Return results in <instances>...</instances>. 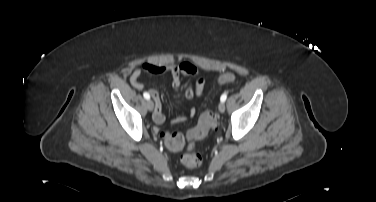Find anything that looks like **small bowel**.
Segmentation results:
<instances>
[{
	"label": "small bowel",
	"instance_id": "small-bowel-1",
	"mask_svg": "<svg viewBox=\"0 0 376 202\" xmlns=\"http://www.w3.org/2000/svg\"><path fill=\"white\" fill-rule=\"evenodd\" d=\"M147 73L151 75L169 74L171 77V83L173 87H179L182 84V77L186 76L193 80V83L187 82L183 84V94L187 99H199L202 97L205 89V81L199 76L198 69L188 62H182L178 65H163L155 63H144L140 68L133 71L130 76L131 85L136 89H142L143 84L140 81L142 74ZM150 94L155 102V109L153 113V120L157 124L164 122L165 117L162 110V103L160 93L156 89H151ZM196 113V109L191 107L187 110V116L181 115L173 119L174 123H181L186 120L187 117H193Z\"/></svg>",
	"mask_w": 376,
	"mask_h": 202
}]
</instances>
